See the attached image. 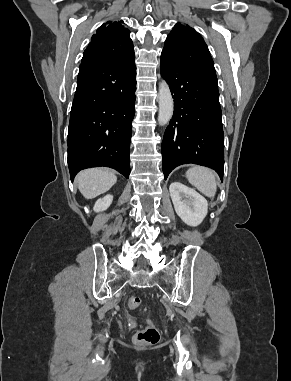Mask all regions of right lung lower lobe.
I'll return each mask as SVG.
<instances>
[{"instance_id": "98d812e1", "label": "right lung lower lobe", "mask_w": 291, "mask_h": 381, "mask_svg": "<svg viewBox=\"0 0 291 381\" xmlns=\"http://www.w3.org/2000/svg\"><path fill=\"white\" fill-rule=\"evenodd\" d=\"M135 90L134 52L118 60L80 64L68 129L71 180L80 170L99 166L128 178Z\"/></svg>"}]
</instances>
